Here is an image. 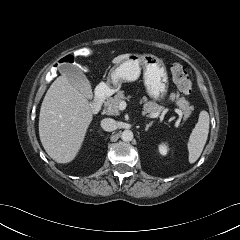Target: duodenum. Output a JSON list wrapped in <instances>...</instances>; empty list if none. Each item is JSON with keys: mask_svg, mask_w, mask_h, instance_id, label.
I'll return each mask as SVG.
<instances>
[{"mask_svg": "<svg viewBox=\"0 0 240 240\" xmlns=\"http://www.w3.org/2000/svg\"><path fill=\"white\" fill-rule=\"evenodd\" d=\"M110 90L111 87L108 84H101L97 87L94 99L90 104L91 110L93 112H98L100 110L102 103Z\"/></svg>", "mask_w": 240, "mask_h": 240, "instance_id": "obj_1", "label": "duodenum"}]
</instances>
